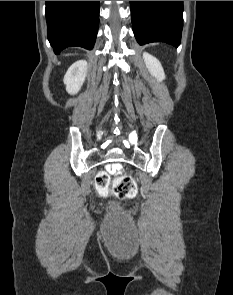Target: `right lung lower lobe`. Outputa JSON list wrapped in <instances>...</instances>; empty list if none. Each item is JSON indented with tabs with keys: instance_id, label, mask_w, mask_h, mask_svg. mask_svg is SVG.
<instances>
[{
	"instance_id": "1",
	"label": "right lung lower lobe",
	"mask_w": 233,
	"mask_h": 295,
	"mask_svg": "<svg viewBox=\"0 0 233 295\" xmlns=\"http://www.w3.org/2000/svg\"><path fill=\"white\" fill-rule=\"evenodd\" d=\"M99 11V1H46L48 40L55 54L70 46L92 49Z\"/></svg>"
}]
</instances>
